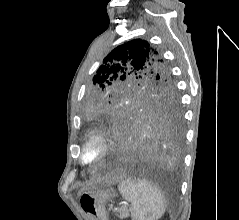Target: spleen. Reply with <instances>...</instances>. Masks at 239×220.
Instances as JSON below:
<instances>
[{
    "label": "spleen",
    "mask_w": 239,
    "mask_h": 220,
    "mask_svg": "<svg viewBox=\"0 0 239 220\" xmlns=\"http://www.w3.org/2000/svg\"><path fill=\"white\" fill-rule=\"evenodd\" d=\"M119 191L130 203L132 220H158L165 213L162 193L146 180L125 179L119 184Z\"/></svg>",
    "instance_id": "3e777b00"
}]
</instances>
